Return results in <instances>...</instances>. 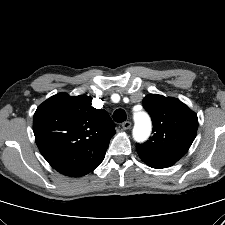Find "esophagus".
Returning a JSON list of instances; mask_svg holds the SVG:
<instances>
[{
  "label": "esophagus",
  "mask_w": 225,
  "mask_h": 225,
  "mask_svg": "<svg viewBox=\"0 0 225 225\" xmlns=\"http://www.w3.org/2000/svg\"><path fill=\"white\" fill-rule=\"evenodd\" d=\"M131 125H132L131 122L126 121V122H123V123H122V128H123L124 130H128V129L131 128Z\"/></svg>",
  "instance_id": "esophagus-1"
}]
</instances>
